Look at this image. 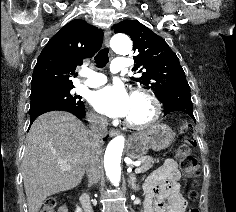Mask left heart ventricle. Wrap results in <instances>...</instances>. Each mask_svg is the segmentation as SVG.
I'll return each instance as SVG.
<instances>
[{"label":"left heart ventricle","instance_id":"1","mask_svg":"<svg viewBox=\"0 0 236 212\" xmlns=\"http://www.w3.org/2000/svg\"><path fill=\"white\" fill-rule=\"evenodd\" d=\"M150 107L146 101L139 97H131V107L128 119L133 121H143L149 115Z\"/></svg>","mask_w":236,"mask_h":212}]
</instances>
